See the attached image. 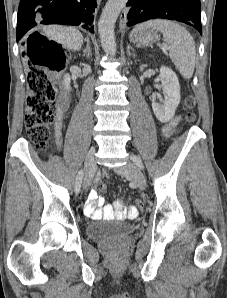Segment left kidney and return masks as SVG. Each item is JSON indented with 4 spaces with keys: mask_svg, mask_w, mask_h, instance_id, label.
Wrapping results in <instances>:
<instances>
[{
    "mask_svg": "<svg viewBox=\"0 0 227 298\" xmlns=\"http://www.w3.org/2000/svg\"><path fill=\"white\" fill-rule=\"evenodd\" d=\"M164 100L153 102L152 109L160 122H168L175 114L180 103V85L176 74L168 67L162 66L159 74Z\"/></svg>",
    "mask_w": 227,
    "mask_h": 298,
    "instance_id": "left-kidney-1",
    "label": "left kidney"
}]
</instances>
